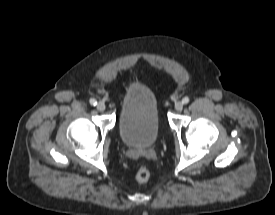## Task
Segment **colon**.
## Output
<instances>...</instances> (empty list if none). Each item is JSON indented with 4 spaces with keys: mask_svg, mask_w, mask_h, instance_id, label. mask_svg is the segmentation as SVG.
Wrapping results in <instances>:
<instances>
[{
    "mask_svg": "<svg viewBox=\"0 0 275 215\" xmlns=\"http://www.w3.org/2000/svg\"><path fill=\"white\" fill-rule=\"evenodd\" d=\"M150 178V172L145 167H139L136 172V179L139 182H146Z\"/></svg>",
    "mask_w": 275,
    "mask_h": 215,
    "instance_id": "5ec220e1",
    "label": "colon"
}]
</instances>
